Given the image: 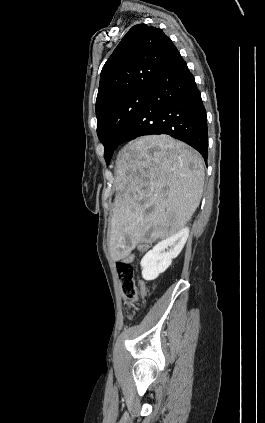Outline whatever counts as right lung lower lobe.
Here are the masks:
<instances>
[{
  "instance_id": "right-lung-lower-lobe-1",
  "label": "right lung lower lobe",
  "mask_w": 265,
  "mask_h": 423,
  "mask_svg": "<svg viewBox=\"0 0 265 423\" xmlns=\"http://www.w3.org/2000/svg\"><path fill=\"white\" fill-rule=\"evenodd\" d=\"M168 134L208 157L206 111L195 79L178 53L121 133L118 145L139 136Z\"/></svg>"
}]
</instances>
